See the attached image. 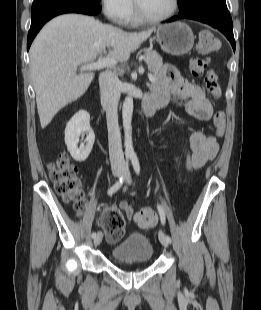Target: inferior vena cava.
I'll use <instances>...</instances> for the list:
<instances>
[{"label":"inferior vena cava","mask_w":261,"mask_h":310,"mask_svg":"<svg viewBox=\"0 0 261 310\" xmlns=\"http://www.w3.org/2000/svg\"><path fill=\"white\" fill-rule=\"evenodd\" d=\"M99 85L101 104L106 111L111 166L122 167L124 156L117 113L120 99V81L114 72L106 70L99 76Z\"/></svg>","instance_id":"obj_1"}]
</instances>
